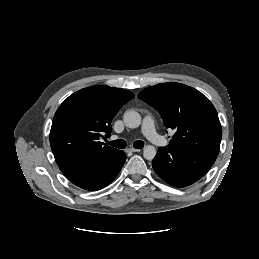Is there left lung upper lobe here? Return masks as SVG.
Returning <instances> with one entry per match:
<instances>
[{"label":"left lung upper lobe","mask_w":259,"mask_h":259,"mask_svg":"<svg viewBox=\"0 0 259 259\" xmlns=\"http://www.w3.org/2000/svg\"><path fill=\"white\" fill-rule=\"evenodd\" d=\"M138 98L153 106L165 127L175 131L168 147L218 155L221 124L213 104L201 92L180 83H164L144 89Z\"/></svg>","instance_id":"5c2ea615"}]
</instances>
